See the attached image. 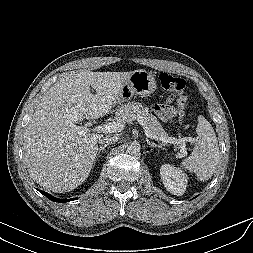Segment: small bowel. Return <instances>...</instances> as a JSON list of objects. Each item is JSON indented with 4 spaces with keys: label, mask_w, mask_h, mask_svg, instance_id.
I'll list each match as a JSON object with an SVG mask.
<instances>
[{
    "label": "small bowel",
    "mask_w": 253,
    "mask_h": 253,
    "mask_svg": "<svg viewBox=\"0 0 253 253\" xmlns=\"http://www.w3.org/2000/svg\"><path fill=\"white\" fill-rule=\"evenodd\" d=\"M153 110L164 121L170 119L175 114V109L169 103L155 105Z\"/></svg>",
    "instance_id": "obj_1"
}]
</instances>
